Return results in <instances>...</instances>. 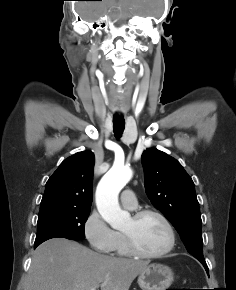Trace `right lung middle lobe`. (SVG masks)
I'll return each instance as SVG.
<instances>
[{
  "label": "right lung middle lobe",
  "mask_w": 236,
  "mask_h": 290,
  "mask_svg": "<svg viewBox=\"0 0 236 290\" xmlns=\"http://www.w3.org/2000/svg\"><path fill=\"white\" fill-rule=\"evenodd\" d=\"M90 209L50 207L39 211L34 245L51 238L82 240Z\"/></svg>",
  "instance_id": "obj_1"
}]
</instances>
